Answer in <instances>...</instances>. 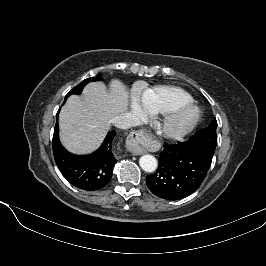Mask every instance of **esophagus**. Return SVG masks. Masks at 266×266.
<instances>
[{"mask_svg": "<svg viewBox=\"0 0 266 266\" xmlns=\"http://www.w3.org/2000/svg\"><path fill=\"white\" fill-rule=\"evenodd\" d=\"M148 138L147 133L144 130H138L132 132L126 141V147L133 155H141L145 153L144 143Z\"/></svg>", "mask_w": 266, "mask_h": 266, "instance_id": "obj_1", "label": "esophagus"}]
</instances>
